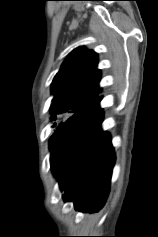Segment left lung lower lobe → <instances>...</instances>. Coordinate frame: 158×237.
Masks as SVG:
<instances>
[{"label":"left lung lower lobe","instance_id":"0a47b994","mask_svg":"<svg viewBox=\"0 0 158 237\" xmlns=\"http://www.w3.org/2000/svg\"><path fill=\"white\" fill-rule=\"evenodd\" d=\"M97 97L62 123L50 138L51 168L66 201L76 209L99 210L108 195L115 155L110 135L102 132Z\"/></svg>","mask_w":158,"mask_h":237}]
</instances>
